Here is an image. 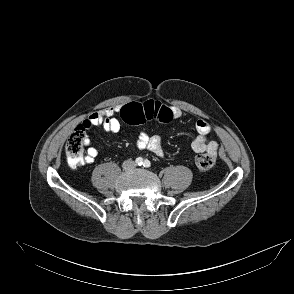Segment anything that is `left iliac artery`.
Masks as SVG:
<instances>
[{
    "label": "left iliac artery",
    "instance_id": "left-iliac-artery-1",
    "mask_svg": "<svg viewBox=\"0 0 294 294\" xmlns=\"http://www.w3.org/2000/svg\"><path fill=\"white\" fill-rule=\"evenodd\" d=\"M143 166L146 167V168L150 167V166H151L150 161L146 159V160L144 161V163H143Z\"/></svg>",
    "mask_w": 294,
    "mask_h": 294
}]
</instances>
